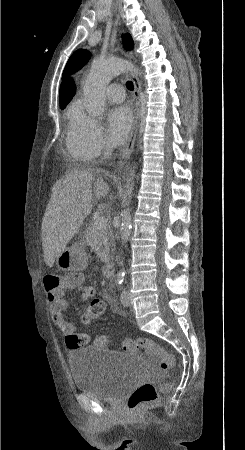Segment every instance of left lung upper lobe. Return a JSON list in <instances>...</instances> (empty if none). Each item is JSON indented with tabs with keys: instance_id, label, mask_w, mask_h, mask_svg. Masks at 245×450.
Segmentation results:
<instances>
[{
	"instance_id": "left-lung-upper-lobe-1",
	"label": "left lung upper lobe",
	"mask_w": 245,
	"mask_h": 450,
	"mask_svg": "<svg viewBox=\"0 0 245 450\" xmlns=\"http://www.w3.org/2000/svg\"><path fill=\"white\" fill-rule=\"evenodd\" d=\"M122 41L126 49L133 48V40L129 34H123ZM90 57L91 54L87 50L79 49L74 52L65 66L62 78L81 69L89 61Z\"/></svg>"
}]
</instances>
